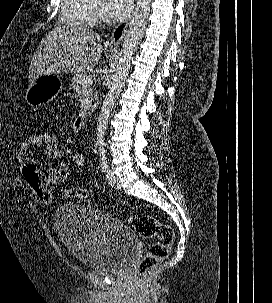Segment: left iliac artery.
Segmentation results:
<instances>
[{"instance_id": "1", "label": "left iliac artery", "mask_w": 272, "mask_h": 303, "mask_svg": "<svg viewBox=\"0 0 272 303\" xmlns=\"http://www.w3.org/2000/svg\"><path fill=\"white\" fill-rule=\"evenodd\" d=\"M99 156L102 170L103 172H105L108 169V161L106 157V148L104 143L99 144Z\"/></svg>"}]
</instances>
